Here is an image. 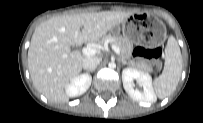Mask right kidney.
I'll use <instances>...</instances> for the list:
<instances>
[{
	"label": "right kidney",
	"instance_id": "obj_1",
	"mask_svg": "<svg viewBox=\"0 0 203 123\" xmlns=\"http://www.w3.org/2000/svg\"><path fill=\"white\" fill-rule=\"evenodd\" d=\"M92 77L89 74H81L71 80L65 91L68 97H77L84 94L90 87Z\"/></svg>",
	"mask_w": 203,
	"mask_h": 123
}]
</instances>
